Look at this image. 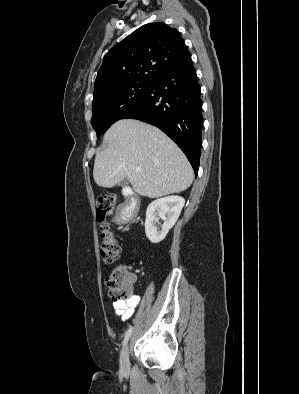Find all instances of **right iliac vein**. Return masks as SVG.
I'll return each mask as SVG.
<instances>
[{
    "label": "right iliac vein",
    "mask_w": 299,
    "mask_h": 394,
    "mask_svg": "<svg viewBox=\"0 0 299 394\" xmlns=\"http://www.w3.org/2000/svg\"><path fill=\"white\" fill-rule=\"evenodd\" d=\"M120 364H121V367L124 370L129 368V349H128V345H126L124 347V349L122 350L121 357H120Z\"/></svg>",
    "instance_id": "right-iliac-vein-1"
}]
</instances>
